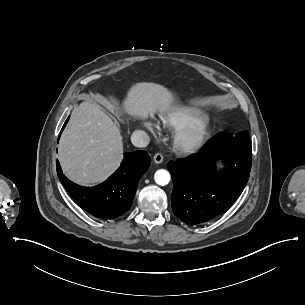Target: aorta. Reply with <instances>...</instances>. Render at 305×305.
<instances>
[{
  "label": "aorta",
  "mask_w": 305,
  "mask_h": 305,
  "mask_svg": "<svg viewBox=\"0 0 305 305\" xmlns=\"http://www.w3.org/2000/svg\"><path fill=\"white\" fill-rule=\"evenodd\" d=\"M155 182L160 186H165L170 182V173L167 170L159 169L154 174Z\"/></svg>",
  "instance_id": "1"
}]
</instances>
